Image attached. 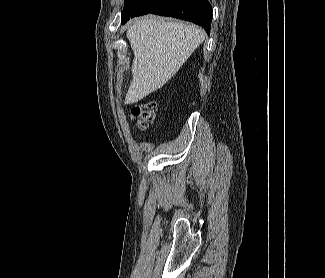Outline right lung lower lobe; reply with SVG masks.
Returning <instances> with one entry per match:
<instances>
[{
    "instance_id": "98d812e1",
    "label": "right lung lower lobe",
    "mask_w": 325,
    "mask_h": 278,
    "mask_svg": "<svg viewBox=\"0 0 325 278\" xmlns=\"http://www.w3.org/2000/svg\"><path fill=\"white\" fill-rule=\"evenodd\" d=\"M134 11L122 18L125 24L130 18L153 13L193 22L210 33L212 8L207 0H135Z\"/></svg>"
}]
</instances>
